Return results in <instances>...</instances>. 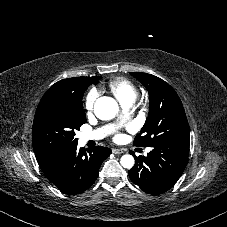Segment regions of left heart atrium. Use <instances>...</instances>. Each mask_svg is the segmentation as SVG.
Returning a JSON list of instances; mask_svg holds the SVG:
<instances>
[{
  "mask_svg": "<svg viewBox=\"0 0 227 227\" xmlns=\"http://www.w3.org/2000/svg\"><path fill=\"white\" fill-rule=\"evenodd\" d=\"M121 139V135H117L116 137H115V140H120Z\"/></svg>",
  "mask_w": 227,
  "mask_h": 227,
  "instance_id": "39dd6f15",
  "label": "left heart atrium"
}]
</instances>
